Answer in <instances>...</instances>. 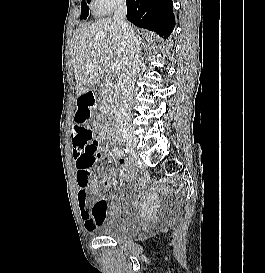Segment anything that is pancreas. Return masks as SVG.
I'll return each instance as SVG.
<instances>
[{"mask_svg":"<svg viewBox=\"0 0 265 273\" xmlns=\"http://www.w3.org/2000/svg\"><path fill=\"white\" fill-rule=\"evenodd\" d=\"M102 87V106L103 110H113L116 103V93L117 86L116 84H112L110 80L106 81L105 84L101 85Z\"/></svg>","mask_w":265,"mask_h":273,"instance_id":"cf45deb5","label":"pancreas"}]
</instances>
